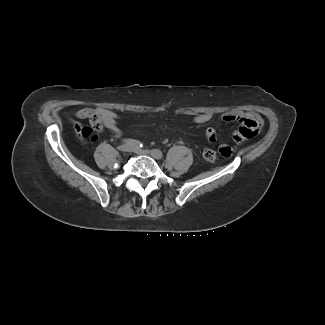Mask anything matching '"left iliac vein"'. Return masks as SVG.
I'll return each instance as SVG.
<instances>
[{"label":"left iliac vein","instance_id":"4c4485c4","mask_svg":"<svg viewBox=\"0 0 325 325\" xmlns=\"http://www.w3.org/2000/svg\"><path fill=\"white\" fill-rule=\"evenodd\" d=\"M131 151H133L134 153H137L139 155H148V156H151L154 159H160L159 155L157 153H155L154 151L142 150V149H139V148H131Z\"/></svg>","mask_w":325,"mask_h":325}]
</instances>
